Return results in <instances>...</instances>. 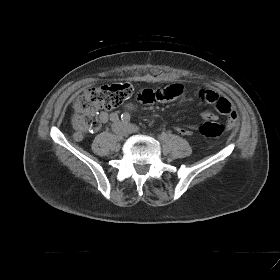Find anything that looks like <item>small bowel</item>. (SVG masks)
Here are the masks:
<instances>
[{
	"instance_id": "obj_1",
	"label": "small bowel",
	"mask_w": 280,
	"mask_h": 280,
	"mask_svg": "<svg viewBox=\"0 0 280 280\" xmlns=\"http://www.w3.org/2000/svg\"><path fill=\"white\" fill-rule=\"evenodd\" d=\"M185 92V87L182 84L176 83L171 84L162 89H144L138 93L137 99L143 104H155V103H164L171 100H174L181 96ZM199 97L206 103L213 105L216 110L226 115L227 118V127L234 128L238 123L237 113L233 105L226 99L221 97L217 92L209 89L201 90L199 92ZM202 117L205 120H216L217 115L209 110L203 109L201 112ZM109 119V114L107 112H101L99 115V120L101 123H106ZM75 127L74 139L76 141H81L84 138L86 128L83 126L79 116H75L73 120ZM196 126H182L177 125L176 130L181 135H191L192 130Z\"/></svg>"
}]
</instances>
